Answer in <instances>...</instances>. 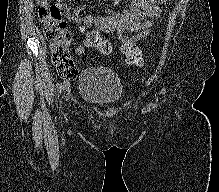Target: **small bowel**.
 Here are the masks:
<instances>
[{
    "mask_svg": "<svg viewBox=\"0 0 219 192\" xmlns=\"http://www.w3.org/2000/svg\"><path fill=\"white\" fill-rule=\"evenodd\" d=\"M121 1L114 0V4L118 5ZM167 1L131 0L130 5L122 10H117L115 7H105L97 15L85 17L80 16V9L71 11L69 6L61 0L58 1L57 5L84 36L82 44L74 50L75 55H80L85 50L95 49L96 40L103 38V34L116 32L123 41L126 36H122V34L128 31L131 32L130 36L135 43L138 40L148 39L153 21L161 14L160 5Z\"/></svg>",
    "mask_w": 219,
    "mask_h": 192,
    "instance_id": "obj_1",
    "label": "small bowel"
}]
</instances>
